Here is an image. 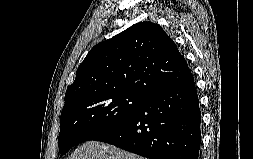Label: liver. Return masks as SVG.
Here are the masks:
<instances>
[{
    "label": "liver",
    "instance_id": "6515ba94",
    "mask_svg": "<svg viewBox=\"0 0 253 159\" xmlns=\"http://www.w3.org/2000/svg\"><path fill=\"white\" fill-rule=\"evenodd\" d=\"M69 159H146L124 151L113 145L97 141H88L78 147Z\"/></svg>",
    "mask_w": 253,
    "mask_h": 159
}]
</instances>
